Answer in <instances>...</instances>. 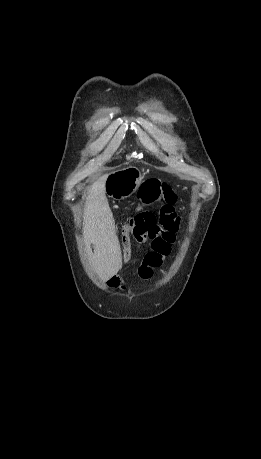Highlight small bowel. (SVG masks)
<instances>
[{
    "label": "small bowel",
    "mask_w": 261,
    "mask_h": 459,
    "mask_svg": "<svg viewBox=\"0 0 261 459\" xmlns=\"http://www.w3.org/2000/svg\"><path fill=\"white\" fill-rule=\"evenodd\" d=\"M133 240L139 244H147L149 247L137 270L142 280H149L153 275L154 269L161 266L164 258L170 254L175 235L170 237L168 234H159L157 238H144L139 234L133 233L131 235V245ZM107 284L112 288H117L120 287V280L114 276L108 280Z\"/></svg>",
    "instance_id": "1"
}]
</instances>
